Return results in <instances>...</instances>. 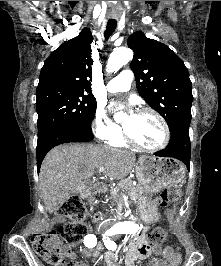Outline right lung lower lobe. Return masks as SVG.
Segmentation results:
<instances>
[{"label": "right lung lower lobe", "instance_id": "right-lung-lower-lobe-1", "mask_svg": "<svg viewBox=\"0 0 221 266\" xmlns=\"http://www.w3.org/2000/svg\"><path fill=\"white\" fill-rule=\"evenodd\" d=\"M94 138L91 132L78 128H62L45 136L37 142V169L40 170L42 161L47 152L53 147L68 142H89Z\"/></svg>", "mask_w": 221, "mask_h": 266}]
</instances>
